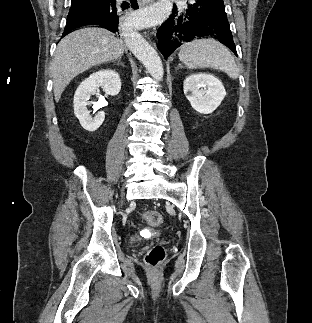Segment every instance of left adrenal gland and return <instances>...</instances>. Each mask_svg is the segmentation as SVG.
<instances>
[{
    "mask_svg": "<svg viewBox=\"0 0 312 323\" xmlns=\"http://www.w3.org/2000/svg\"><path fill=\"white\" fill-rule=\"evenodd\" d=\"M179 68H182L181 64H179Z\"/></svg>",
    "mask_w": 312,
    "mask_h": 323,
    "instance_id": "1",
    "label": "left adrenal gland"
}]
</instances>
